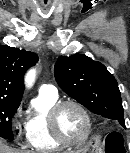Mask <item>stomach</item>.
Here are the masks:
<instances>
[{
    "label": "stomach",
    "instance_id": "obj_1",
    "mask_svg": "<svg viewBox=\"0 0 130 153\" xmlns=\"http://www.w3.org/2000/svg\"><path fill=\"white\" fill-rule=\"evenodd\" d=\"M100 140L99 137H93L88 146L80 148L73 153H99Z\"/></svg>",
    "mask_w": 130,
    "mask_h": 153
}]
</instances>
